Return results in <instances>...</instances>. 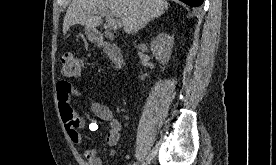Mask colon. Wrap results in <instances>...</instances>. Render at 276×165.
<instances>
[{
    "instance_id": "1",
    "label": "colon",
    "mask_w": 276,
    "mask_h": 165,
    "mask_svg": "<svg viewBox=\"0 0 276 165\" xmlns=\"http://www.w3.org/2000/svg\"><path fill=\"white\" fill-rule=\"evenodd\" d=\"M83 70L82 59L73 52H67L61 59V74L66 77H76Z\"/></svg>"
}]
</instances>
